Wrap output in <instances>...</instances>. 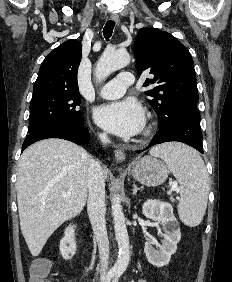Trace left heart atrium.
<instances>
[{
  "label": "left heart atrium",
  "instance_id": "obj_1",
  "mask_svg": "<svg viewBox=\"0 0 232 282\" xmlns=\"http://www.w3.org/2000/svg\"><path fill=\"white\" fill-rule=\"evenodd\" d=\"M95 120L105 130L129 137L142 130L145 116L136 100L125 99L99 106L95 111Z\"/></svg>",
  "mask_w": 232,
  "mask_h": 282
}]
</instances>
